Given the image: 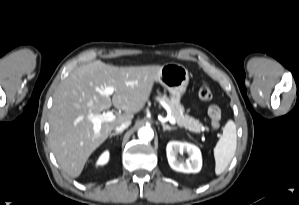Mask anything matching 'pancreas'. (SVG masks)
<instances>
[{"instance_id": "obj_1", "label": "pancreas", "mask_w": 299, "mask_h": 205, "mask_svg": "<svg viewBox=\"0 0 299 205\" xmlns=\"http://www.w3.org/2000/svg\"><path fill=\"white\" fill-rule=\"evenodd\" d=\"M161 101L167 104L170 109L171 116L176 120L179 127H183L191 132L200 133L201 131L208 130L199 120L189 116L185 113L184 107L180 104L177 97H158Z\"/></svg>"}]
</instances>
